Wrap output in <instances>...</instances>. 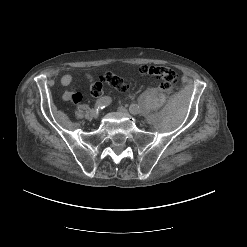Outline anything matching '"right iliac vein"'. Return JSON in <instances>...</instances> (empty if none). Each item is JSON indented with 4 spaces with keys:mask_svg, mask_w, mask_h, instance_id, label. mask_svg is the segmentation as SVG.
Segmentation results:
<instances>
[{
    "mask_svg": "<svg viewBox=\"0 0 247 247\" xmlns=\"http://www.w3.org/2000/svg\"><path fill=\"white\" fill-rule=\"evenodd\" d=\"M91 115H92V117H93L94 119H97V117H98V112H97L95 109H93V110L91 111Z\"/></svg>",
    "mask_w": 247,
    "mask_h": 247,
    "instance_id": "1",
    "label": "right iliac vein"
}]
</instances>
